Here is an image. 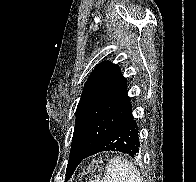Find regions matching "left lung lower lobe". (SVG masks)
<instances>
[{
    "mask_svg": "<svg viewBox=\"0 0 196 182\" xmlns=\"http://www.w3.org/2000/svg\"><path fill=\"white\" fill-rule=\"evenodd\" d=\"M138 130L131 109L93 151H73L70 153V159L75 161V166L77 167L83 159L104 151L122 152L134 158L140 152Z\"/></svg>",
    "mask_w": 196,
    "mask_h": 182,
    "instance_id": "left-lung-lower-lobe-1",
    "label": "left lung lower lobe"
}]
</instances>
